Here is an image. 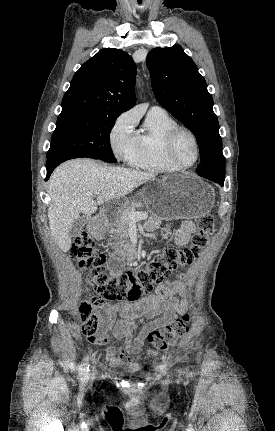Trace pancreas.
<instances>
[{"label":"pancreas","mask_w":275,"mask_h":431,"mask_svg":"<svg viewBox=\"0 0 275 431\" xmlns=\"http://www.w3.org/2000/svg\"><path fill=\"white\" fill-rule=\"evenodd\" d=\"M143 203L141 200L137 198L131 199L129 205L120 208L114 218L113 227L111 229L112 237L111 240H114L112 245L113 249H118L120 244H123L128 239V227L129 220L127 218V213L130 211H135L136 208H142Z\"/></svg>","instance_id":"cf45deb5"}]
</instances>
